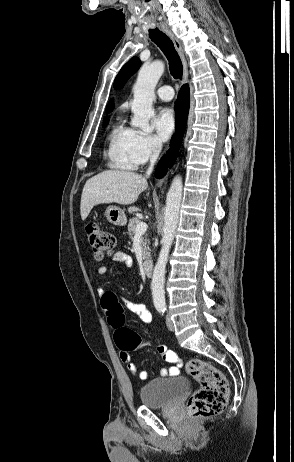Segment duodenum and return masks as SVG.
Masks as SVG:
<instances>
[{"mask_svg":"<svg viewBox=\"0 0 294 462\" xmlns=\"http://www.w3.org/2000/svg\"><path fill=\"white\" fill-rule=\"evenodd\" d=\"M143 270L146 275H152L154 270V262L152 259H145L143 262Z\"/></svg>","mask_w":294,"mask_h":462,"instance_id":"obj_1","label":"duodenum"}]
</instances>
